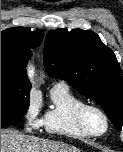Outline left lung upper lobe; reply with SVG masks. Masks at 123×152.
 <instances>
[{
  "instance_id": "1",
  "label": "left lung upper lobe",
  "mask_w": 123,
  "mask_h": 152,
  "mask_svg": "<svg viewBox=\"0 0 123 152\" xmlns=\"http://www.w3.org/2000/svg\"><path fill=\"white\" fill-rule=\"evenodd\" d=\"M44 65L52 78L66 80L80 94L102 106L121 131L123 78L115 54L90 30L64 29L48 32Z\"/></svg>"
}]
</instances>
